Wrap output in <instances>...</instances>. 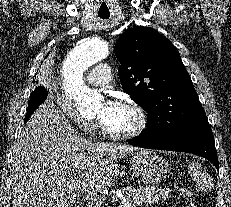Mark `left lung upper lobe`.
Masks as SVG:
<instances>
[{
  "instance_id": "5c2ea615",
  "label": "left lung upper lobe",
  "mask_w": 231,
  "mask_h": 207,
  "mask_svg": "<svg viewBox=\"0 0 231 207\" xmlns=\"http://www.w3.org/2000/svg\"><path fill=\"white\" fill-rule=\"evenodd\" d=\"M122 88L148 112L142 136L164 140L209 125L176 47L154 29L126 30L115 44Z\"/></svg>"
}]
</instances>
